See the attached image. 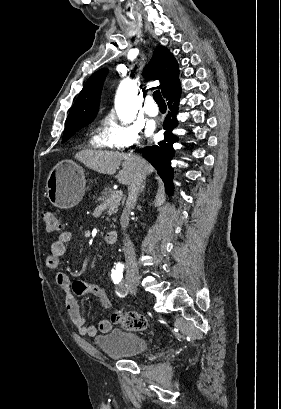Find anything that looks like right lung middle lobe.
I'll list each match as a JSON object with an SVG mask.
<instances>
[{
    "instance_id": "right-lung-middle-lobe-1",
    "label": "right lung middle lobe",
    "mask_w": 281,
    "mask_h": 409,
    "mask_svg": "<svg viewBox=\"0 0 281 409\" xmlns=\"http://www.w3.org/2000/svg\"><path fill=\"white\" fill-rule=\"evenodd\" d=\"M86 125H88V124H86ZM86 125L77 126V127H65L62 143L67 141L72 135H74L78 130H80L82 127H84Z\"/></svg>"
}]
</instances>
